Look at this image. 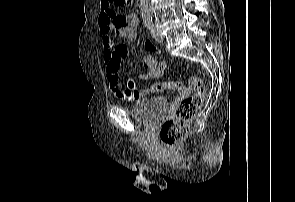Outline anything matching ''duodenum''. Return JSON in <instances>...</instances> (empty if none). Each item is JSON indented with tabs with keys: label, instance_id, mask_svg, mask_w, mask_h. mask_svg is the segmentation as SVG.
Listing matches in <instances>:
<instances>
[{
	"label": "duodenum",
	"instance_id": "duodenum-1",
	"mask_svg": "<svg viewBox=\"0 0 295 202\" xmlns=\"http://www.w3.org/2000/svg\"><path fill=\"white\" fill-rule=\"evenodd\" d=\"M139 4H142L143 3V0H137Z\"/></svg>",
	"mask_w": 295,
	"mask_h": 202
}]
</instances>
